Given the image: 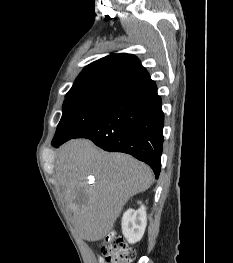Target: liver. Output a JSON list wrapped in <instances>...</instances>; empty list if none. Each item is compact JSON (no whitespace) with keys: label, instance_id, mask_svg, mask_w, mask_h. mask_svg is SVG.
Returning <instances> with one entry per match:
<instances>
[{"label":"liver","instance_id":"1","mask_svg":"<svg viewBox=\"0 0 233 263\" xmlns=\"http://www.w3.org/2000/svg\"><path fill=\"white\" fill-rule=\"evenodd\" d=\"M55 171L75 228L87 241L103 239L129 198L147 190L153 179L143 162L123 153H106L87 139L61 146Z\"/></svg>","mask_w":233,"mask_h":263}]
</instances>
